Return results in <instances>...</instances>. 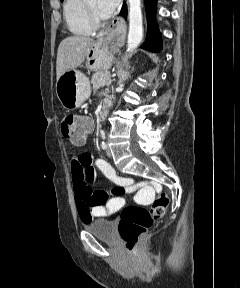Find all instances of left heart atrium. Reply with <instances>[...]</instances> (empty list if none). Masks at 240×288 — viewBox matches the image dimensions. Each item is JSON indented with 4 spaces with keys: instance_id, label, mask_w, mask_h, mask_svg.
Segmentation results:
<instances>
[{
    "instance_id": "39dd6f15",
    "label": "left heart atrium",
    "mask_w": 240,
    "mask_h": 288,
    "mask_svg": "<svg viewBox=\"0 0 240 288\" xmlns=\"http://www.w3.org/2000/svg\"><path fill=\"white\" fill-rule=\"evenodd\" d=\"M121 0H97V11L102 18L110 17Z\"/></svg>"
}]
</instances>
